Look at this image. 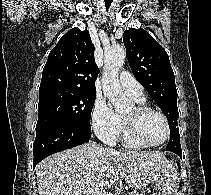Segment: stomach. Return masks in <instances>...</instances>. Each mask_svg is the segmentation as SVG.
I'll list each match as a JSON object with an SVG mask.
<instances>
[{
	"mask_svg": "<svg viewBox=\"0 0 211 195\" xmlns=\"http://www.w3.org/2000/svg\"><path fill=\"white\" fill-rule=\"evenodd\" d=\"M130 182L135 184V189H139L141 185L149 180V177L141 174H132ZM151 180H154L161 192L158 195H174V188L178 181V175L174 166L169 161H161L158 168L153 172Z\"/></svg>",
	"mask_w": 211,
	"mask_h": 195,
	"instance_id": "stomach-1",
	"label": "stomach"
}]
</instances>
